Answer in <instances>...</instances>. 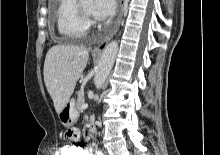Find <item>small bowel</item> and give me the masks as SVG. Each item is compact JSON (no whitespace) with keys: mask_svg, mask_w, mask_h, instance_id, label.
Here are the masks:
<instances>
[{"mask_svg":"<svg viewBox=\"0 0 220 155\" xmlns=\"http://www.w3.org/2000/svg\"><path fill=\"white\" fill-rule=\"evenodd\" d=\"M63 136H64V141H79L80 130H77V126H65V131ZM63 146H74V145L65 144ZM81 150H83V155H91L90 149L81 148Z\"/></svg>","mask_w":220,"mask_h":155,"instance_id":"small-bowel-1","label":"small bowel"}]
</instances>
